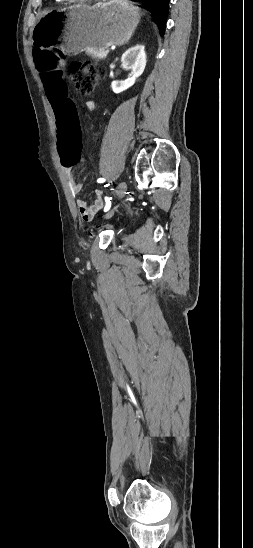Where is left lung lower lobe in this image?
Segmentation results:
<instances>
[{
    "label": "left lung lower lobe",
    "instance_id": "1",
    "mask_svg": "<svg viewBox=\"0 0 253 548\" xmlns=\"http://www.w3.org/2000/svg\"><path fill=\"white\" fill-rule=\"evenodd\" d=\"M140 2L147 4L155 15L156 23L160 29V33L163 35L165 31L168 5L170 0H139Z\"/></svg>",
    "mask_w": 253,
    "mask_h": 548
}]
</instances>
